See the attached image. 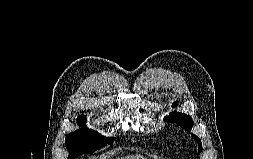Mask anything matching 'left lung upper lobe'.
<instances>
[{"label": "left lung upper lobe", "instance_id": "left-lung-upper-lobe-1", "mask_svg": "<svg viewBox=\"0 0 253 159\" xmlns=\"http://www.w3.org/2000/svg\"><path fill=\"white\" fill-rule=\"evenodd\" d=\"M172 106L176 107L177 102H174ZM165 121L175 122L177 125L187 130H190L193 126V121L191 117L189 115H186L184 113H179V112H173L169 116H166ZM192 137L198 143V153H200L202 151L201 140L194 134H192Z\"/></svg>", "mask_w": 253, "mask_h": 159}]
</instances>
